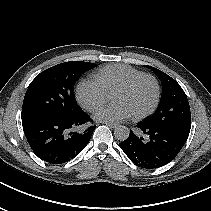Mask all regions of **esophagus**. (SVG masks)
<instances>
[{"instance_id":"1","label":"esophagus","mask_w":211,"mask_h":211,"mask_svg":"<svg viewBox=\"0 0 211 211\" xmlns=\"http://www.w3.org/2000/svg\"><path fill=\"white\" fill-rule=\"evenodd\" d=\"M104 124L107 125L110 128H116V126H117V124L110 123V122H105Z\"/></svg>"}]
</instances>
